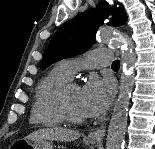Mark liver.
Wrapping results in <instances>:
<instances>
[{
	"label": "liver",
	"mask_w": 155,
	"mask_h": 149,
	"mask_svg": "<svg viewBox=\"0 0 155 149\" xmlns=\"http://www.w3.org/2000/svg\"><path fill=\"white\" fill-rule=\"evenodd\" d=\"M81 134L78 131L62 127L44 128L27 135L25 139H47L56 141L71 142L78 139Z\"/></svg>",
	"instance_id": "liver-1"
}]
</instances>
